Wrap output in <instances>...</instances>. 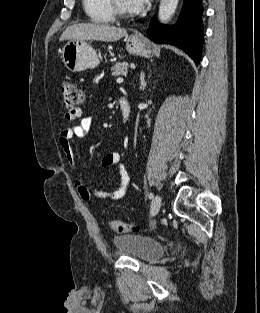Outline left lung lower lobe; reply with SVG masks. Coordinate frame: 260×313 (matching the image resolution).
Wrapping results in <instances>:
<instances>
[{
  "label": "left lung lower lobe",
  "instance_id": "obj_1",
  "mask_svg": "<svg viewBox=\"0 0 260 313\" xmlns=\"http://www.w3.org/2000/svg\"><path fill=\"white\" fill-rule=\"evenodd\" d=\"M202 14L201 0H184L176 25H161L153 17L147 35L156 43L171 44L183 49L198 64L204 42Z\"/></svg>",
  "mask_w": 260,
  "mask_h": 313
}]
</instances>
